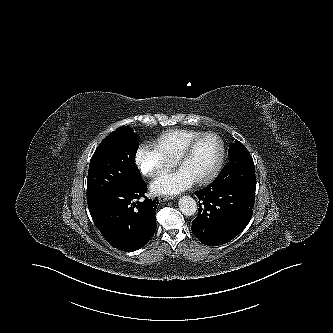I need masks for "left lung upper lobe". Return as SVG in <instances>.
Instances as JSON below:
<instances>
[{"label":"left lung upper lobe","instance_id":"left-lung-upper-lobe-1","mask_svg":"<svg viewBox=\"0 0 333 333\" xmlns=\"http://www.w3.org/2000/svg\"><path fill=\"white\" fill-rule=\"evenodd\" d=\"M228 159L229 163L226 164L225 168L229 167L234 172L237 186L255 192L254 162L247 148L236 140L235 143L229 145Z\"/></svg>","mask_w":333,"mask_h":333}]
</instances>
